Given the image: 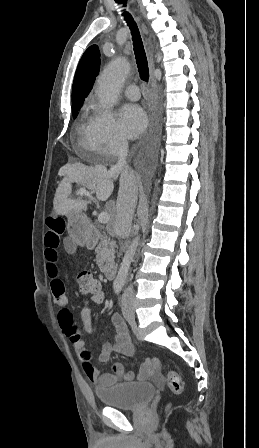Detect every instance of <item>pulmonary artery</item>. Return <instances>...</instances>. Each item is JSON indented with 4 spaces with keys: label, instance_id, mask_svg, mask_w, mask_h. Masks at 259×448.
I'll use <instances>...</instances> for the list:
<instances>
[{
    "label": "pulmonary artery",
    "instance_id": "pulmonary-artery-1",
    "mask_svg": "<svg viewBox=\"0 0 259 448\" xmlns=\"http://www.w3.org/2000/svg\"><path fill=\"white\" fill-rule=\"evenodd\" d=\"M118 70L120 73L126 75L128 74L130 67H131V62L129 61V59L127 58H119L115 61ZM137 90V86L134 84H130L127 86H122L121 88V92L124 93L128 98L132 99V100H138L140 98V94L136 91Z\"/></svg>",
    "mask_w": 259,
    "mask_h": 448
}]
</instances>
